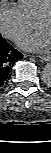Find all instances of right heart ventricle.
Returning a JSON list of instances; mask_svg holds the SVG:
<instances>
[{
    "label": "right heart ventricle",
    "mask_w": 51,
    "mask_h": 153,
    "mask_svg": "<svg viewBox=\"0 0 51 153\" xmlns=\"http://www.w3.org/2000/svg\"><path fill=\"white\" fill-rule=\"evenodd\" d=\"M17 5L25 17L34 22L40 12L51 6V0H18Z\"/></svg>",
    "instance_id": "right-heart-ventricle-1"
}]
</instances>
